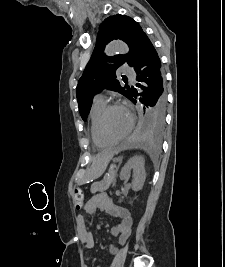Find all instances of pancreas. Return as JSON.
Listing matches in <instances>:
<instances>
[{"label":"pancreas","mask_w":225,"mask_h":267,"mask_svg":"<svg viewBox=\"0 0 225 267\" xmlns=\"http://www.w3.org/2000/svg\"><path fill=\"white\" fill-rule=\"evenodd\" d=\"M116 172L117 169L110 167L103 180H101L100 182H95L91 185V193L95 194L97 192H104L109 189L111 184H115Z\"/></svg>","instance_id":"1"}]
</instances>
